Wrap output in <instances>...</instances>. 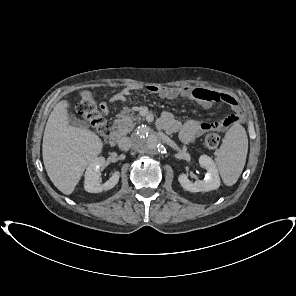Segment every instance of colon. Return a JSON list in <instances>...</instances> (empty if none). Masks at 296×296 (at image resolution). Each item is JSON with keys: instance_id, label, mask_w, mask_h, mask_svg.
Listing matches in <instances>:
<instances>
[{"instance_id": "obj_1", "label": "colon", "mask_w": 296, "mask_h": 296, "mask_svg": "<svg viewBox=\"0 0 296 296\" xmlns=\"http://www.w3.org/2000/svg\"><path fill=\"white\" fill-rule=\"evenodd\" d=\"M77 113L85 120L91 128L107 142L109 136V127L102 115V106H99L93 94L84 90L80 92V100L76 106ZM221 141V136L217 132H211L205 137V145L208 148H216Z\"/></svg>"}]
</instances>
